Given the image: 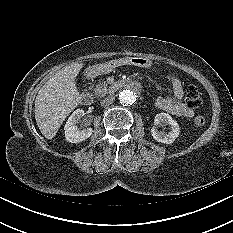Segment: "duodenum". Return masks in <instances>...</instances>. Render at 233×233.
<instances>
[{"label":"duodenum","mask_w":233,"mask_h":233,"mask_svg":"<svg viewBox=\"0 0 233 233\" xmlns=\"http://www.w3.org/2000/svg\"><path fill=\"white\" fill-rule=\"evenodd\" d=\"M87 79L91 80L92 76H88ZM122 87H123L122 82L117 81V82H115L114 85L110 84V85L104 87V89L100 90L99 95H100V97L105 98V97H107V95L114 93L116 89L117 90L122 89ZM80 101L83 105H90L92 103L91 93L84 92L80 97Z\"/></svg>","instance_id":"410a0bca"}]
</instances>
